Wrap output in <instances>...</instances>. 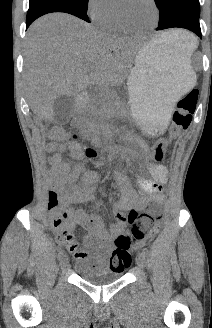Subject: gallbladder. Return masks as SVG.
<instances>
[{
  "label": "gallbladder",
  "instance_id": "gallbladder-1",
  "mask_svg": "<svg viewBox=\"0 0 212 328\" xmlns=\"http://www.w3.org/2000/svg\"><path fill=\"white\" fill-rule=\"evenodd\" d=\"M75 98L73 96L61 95L54 101V122L57 124L67 123L73 112Z\"/></svg>",
  "mask_w": 212,
  "mask_h": 328
}]
</instances>
